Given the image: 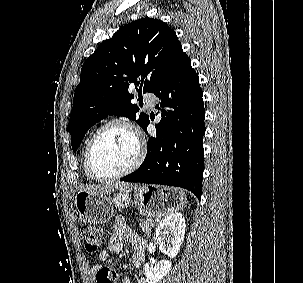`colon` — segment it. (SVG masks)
I'll list each match as a JSON object with an SVG mask.
<instances>
[{
  "instance_id": "5ec220e1",
  "label": "colon",
  "mask_w": 303,
  "mask_h": 283,
  "mask_svg": "<svg viewBox=\"0 0 303 283\" xmlns=\"http://www.w3.org/2000/svg\"><path fill=\"white\" fill-rule=\"evenodd\" d=\"M80 236L89 254H96L106 239V233L92 225H83ZM117 281V273L110 268L103 267L96 273L97 283H117Z\"/></svg>"
}]
</instances>
